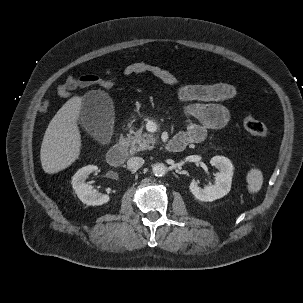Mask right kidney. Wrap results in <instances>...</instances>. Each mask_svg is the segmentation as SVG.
<instances>
[{
	"label": "right kidney",
	"mask_w": 303,
	"mask_h": 303,
	"mask_svg": "<svg viewBox=\"0 0 303 303\" xmlns=\"http://www.w3.org/2000/svg\"><path fill=\"white\" fill-rule=\"evenodd\" d=\"M98 168L95 165H88L80 168L72 177V187L78 198L87 205H102L109 201V196L97 192L93 187L87 184L86 178L90 173Z\"/></svg>",
	"instance_id": "1"
}]
</instances>
